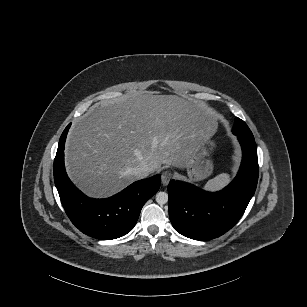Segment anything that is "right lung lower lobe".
Instances as JSON below:
<instances>
[{"instance_id": "1", "label": "right lung lower lobe", "mask_w": 307, "mask_h": 307, "mask_svg": "<svg viewBox=\"0 0 307 307\" xmlns=\"http://www.w3.org/2000/svg\"><path fill=\"white\" fill-rule=\"evenodd\" d=\"M69 124L62 133L54 160V181L61 203L72 223L83 233L101 240L119 238L135 226L141 208L159 189L161 176L134 182L107 199H93L78 190L64 166L65 140Z\"/></svg>"}]
</instances>
